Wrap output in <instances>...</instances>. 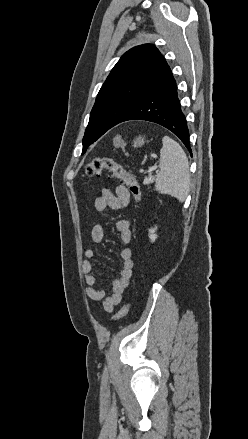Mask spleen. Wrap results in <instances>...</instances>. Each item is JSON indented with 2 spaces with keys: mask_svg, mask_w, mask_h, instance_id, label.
<instances>
[{
  "mask_svg": "<svg viewBox=\"0 0 248 439\" xmlns=\"http://www.w3.org/2000/svg\"><path fill=\"white\" fill-rule=\"evenodd\" d=\"M159 167L155 189L183 202L190 191V173L187 156L175 140L168 136L162 139Z\"/></svg>",
  "mask_w": 248,
  "mask_h": 439,
  "instance_id": "spleen-1",
  "label": "spleen"
}]
</instances>
